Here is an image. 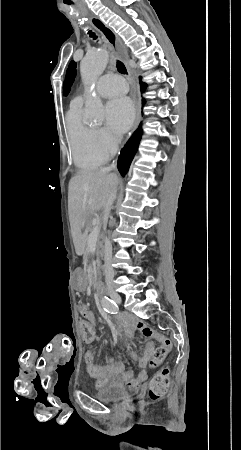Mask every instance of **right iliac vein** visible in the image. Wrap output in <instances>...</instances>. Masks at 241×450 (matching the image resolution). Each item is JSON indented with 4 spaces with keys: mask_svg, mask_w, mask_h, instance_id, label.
<instances>
[{
    "mask_svg": "<svg viewBox=\"0 0 241 450\" xmlns=\"http://www.w3.org/2000/svg\"><path fill=\"white\" fill-rule=\"evenodd\" d=\"M110 296L115 302H117V303L121 302V298H120V295L118 293L111 291L110 292Z\"/></svg>",
    "mask_w": 241,
    "mask_h": 450,
    "instance_id": "1",
    "label": "right iliac vein"
}]
</instances>
